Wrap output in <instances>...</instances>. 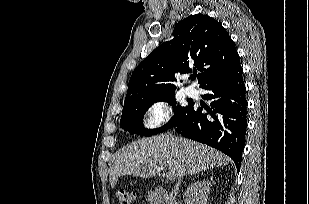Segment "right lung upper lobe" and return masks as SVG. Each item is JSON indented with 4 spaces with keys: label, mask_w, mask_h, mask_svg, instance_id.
Returning a JSON list of instances; mask_svg holds the SVG:
<instances>
[{
    "label": "right lung upper lobe",
    "mask_w": 309,
    "mask_h": 204,
    "mask_svg": "<svg viewBox=\"0 0 309 204\" xmlns=\"http://www.w3.org/2000/svg\"><path fill=\"white\" fill-rule=\"evenodd\" d=\"M174 38L150 53L133 71L125 101L175 92V72L200 71V87L236 69L239 55L215 19L191 15L178 22Z\"/></svg>",
    "instance_id": "right-lung-upper-lobe-1"
}]
</instances>
